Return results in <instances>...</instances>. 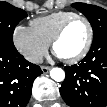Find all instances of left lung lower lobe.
I'll use <instances>...</instances> for the list:
<instances>
[{"instance_id": "left-lung-lower-lobe-1", "label": "left lung lower lobe", "mask_w": 107, "mask_h": 107, "mask_svg": "<svg viewBox=\"0 0 107 107\" xmlns=\"http://www.w3.org/2000/svg\"><path fill=\"white\" fill-rule=\"evenodd\" d=\"M66 77L60 88L70 107H105L107 105V35L93 41L85 58L65 67Z\"/></svg>"}]
</instances>
